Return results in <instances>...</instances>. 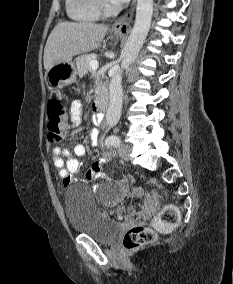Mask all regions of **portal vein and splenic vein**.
<instances>
[{
  "label": "portal vein and splenic vein",
  "instance_id": "portal-vein-and-splenic-vein-1",
  "mask_svg": "<svg viewBox=\"0 0 233 284\" xmlns=\"http://www.w3.org/2000/svg\"><path fill=\"white\" fill-rule=\"evenodd\" d=\"M89 65L93 70H96L99 67V62L96 59L90 60Z\"/></svg>",
  "mask_w": 233,
  "mask_h": 284
}]
</instances>
